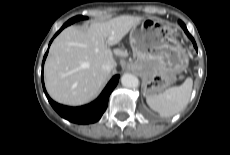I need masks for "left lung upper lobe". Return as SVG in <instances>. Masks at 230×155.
<instances>
[{"label":"left lung upper lobe","mask_w":230,"mask_h":155,"mask_svg":"<svg viewBox=\"0 0 230 155\" xmlns=\"http://www.w3.org/2000/svg\"><path fill=\"white\" fill-rule=\"evenodd\" d=\"M184 23L182 21H180V25L182 26Z\"/></svg>","instance_id":"left-lung-upper-lobe-1"}]
</instances>
